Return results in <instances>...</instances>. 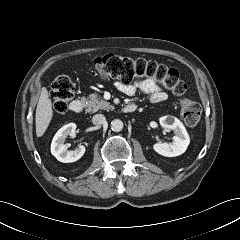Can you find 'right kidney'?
Listing matches in <instances>:
<instances>
[{
	"instance_id": "ca27d5eb",
	"label": "right kidney",
	"mask_w": 240,
	"mask_h": 240,
	"mask_svg": "<svg viewBox=\"0 0 240 240\" xmlns=\"http://www.w3.org/2000/svg\"><path fill=\"white\" fill-rule=\"evenodd\" d=\"M76 124L69 123L60 128L51 143V153L56 159L63 163H71L79 160L85 153V147L80 145L74 150H68V145L64 144L68 135L75 134Z\"/></svg>"
}]
</instances>
